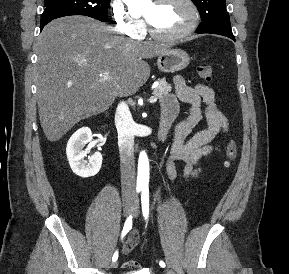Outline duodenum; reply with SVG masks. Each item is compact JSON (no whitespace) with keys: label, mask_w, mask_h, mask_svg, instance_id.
Listing matches in <instances>:
<instances>
[{"label":"duodenum","mask_w":289,"mask_h":274,"mask_svg":"<svg viewBox=\"0 0 289 274\" xmlns=\"http://www.w3.org/2000/svg\"><path fill=\"white\" fill-rule=\"evenodd\" d=\"M175 116H176L175 111H172L169 113H162L161 121H160V125H159V130H158V134H157L158 142H163L166 139L167 134L169 133V130L171 128V125L174 121ZM105 118H106V116H105Z\"/></svg>","instance_id":"410a0bca"}]
</instances>
